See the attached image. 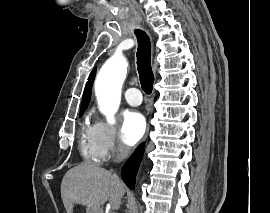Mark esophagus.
I'll list each match as a JSON object with an SVG mask.
<instances>
[{"label":"esophagus","mask_w":270,"mask_h":213,"mask_svg":"<svg viewBox=\"0 0 270 213\" xmlns=\"http://www.w3.org/2000/svg\"><path fill=\"white\" fill-rule=\"evenodd\" d=\"M148 132H149V126L147 127V131H146V134H145V136H144V139H143V140H145V139L147 138Z\"/></svg>","instance_id":"1"}]
</instances>
